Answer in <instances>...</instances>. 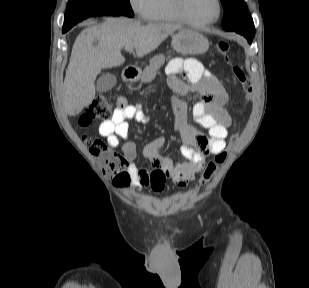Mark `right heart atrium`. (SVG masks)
I'll return each mask as SVG.
<instances>
[{"mask_svg":"<svg viewBox=\"0 0 309 288\" xmlns=\"http://www.w3.org/2000/svg\"><path fill=\"white\" fill-rule=\"evenodd\" d=\"M150 0H129L132 10L141 17H146V10Z\"/></svg>","mask_w":309,"mask_h":288,"instance_id":"d8ad5b80","label":"right heart atrium"}]
</instances>
